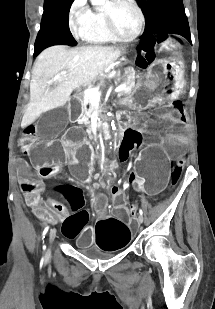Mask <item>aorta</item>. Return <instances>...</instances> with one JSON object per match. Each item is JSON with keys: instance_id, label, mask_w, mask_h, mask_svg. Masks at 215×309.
<instances>
[{"instance_id": "762f6f07", "label": "aorta", "mask_w": 215, "mask_h": 309, "mask_svg": "<svg viewBox=\"0 0 215 309\" xmlns=\"http://www.w3.org/2000/svg\"><path fill=\"white\" fill-rule=\"evenodd\" d=\"M91 4H96V6H100V8H106L111 4V0H90ZM113 128L115 130L116 126L113 124Z\"/></svg>"}]
</instances>
